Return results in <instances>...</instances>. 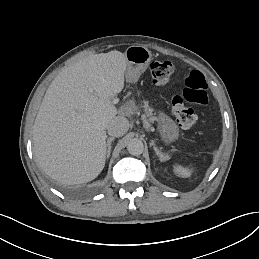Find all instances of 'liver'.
<instances>
[{"instance_id":"6515ba94","label":"liver","mask_w":259,"mask_h":259,"mask_svg":"<svg viewBox=\"0 0 259 259\" xmlns=\"http://www.w3.org/2000/svg\"><path fill=\"white\" fill-rule=\"evenodd\" d=\"M123 53L91 54L52 81L33 126V152L43 171L68 185L87 183L103 170L106 128L117 114L111 99L124 87Z\"/></svg>"}]
</instances>
